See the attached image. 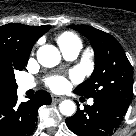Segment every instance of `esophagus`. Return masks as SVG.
<instances>
[{
	"instance_id": "esophagus-1",
	"label": "esophagus",
	"mask_w": 136,
	"mask_h": 136,
	"mask_svg": "<svg viewBox=\"0 0 136 136\" xmlns=\"http://www.w3.org/2000/svg\"><path fill=\"white\" fill-rule=\"evenodd\" d=\"M64 98L61 96H57V95H52V101L53 102H60L62 101Z\"/></svg>"
}]
</instances>
